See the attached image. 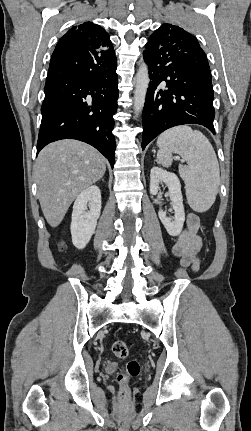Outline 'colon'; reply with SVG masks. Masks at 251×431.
<instances>
[{
    "label": "colon",
    "instance_id": "5ec220e1",
    "mask_svg": "<svg viewBox=\"0 0 251 431\" xmlns=\"http://www.w3.org/2000/svg\"><path fill=\"white\" fill-rule=\"evenodd\" d=\"M111 350L118 358H125L128 355V347L124 341L117 340L112 343ZM141 366L137 360H131L127 363L125 369L118 373L117 382L120 386L122 397L127 395L128 381L140 374Z\"/></svg>",
    "mask_w": 251,
    "mask_h": 431
}]
</instances>
